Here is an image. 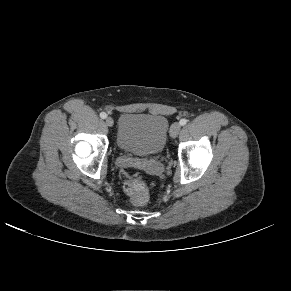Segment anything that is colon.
Here are the masks:
<instances>
[{
  "mask_svg": "<svg viewBox=\"0 0 291 291\" xmlns=\"http://www.w3.org/2000/svg\"><path fill=\"white\" fill-rule=\"evenodd\" d=\"M125 193L135 205H143L149 199V187L147 182L140 176L128 177L123 185Z\"/></svg>",
  "mask_w": 291,
  "mask_h": 291,
  "instance_id": "5ec220e1",
  "label": "colon"
}]
</instances>
